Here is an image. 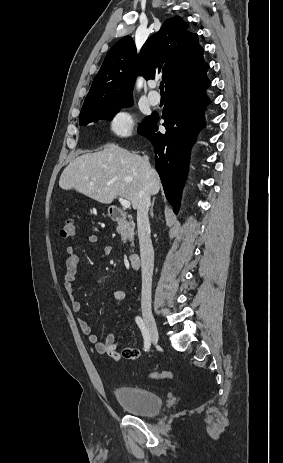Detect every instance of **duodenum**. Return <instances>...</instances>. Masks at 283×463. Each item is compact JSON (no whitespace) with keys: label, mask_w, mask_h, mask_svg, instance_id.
<instances>
[{"label":"duodenum","mask_w":283,"mask_h":463,"mask_svg":"<svg viewBox=\"0 0 283 463\" xmlns=\"http://www.w3.org/2000/svg\"><path fill=\"white\" fill-rule=\"evenodd\" d=\"M110 216L113 221L119 223H123L126 221L125 212L116 206H112L110 208ZM129 262L132 268L137 269L140 265V256L136 253L130 254Z\"/></svg>","instance_id":"duodenum-1"}]
</instances>
